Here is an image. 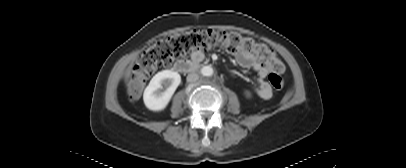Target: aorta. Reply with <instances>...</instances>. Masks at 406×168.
<instances>
[{
    "label": "aorta",
    "instance_id": "aorta-1",
    "mask_svg": "<svg viewBox=\"0 0 406 168\" xmlns=\"http://www.w3.org/2000/svg\"><path fill=\"white\" fill-rule=\"evenodd\" d=\"M201 74L203 76H212L213 75V68L211 66H203L201 68Z\"/></svg>",
    "mask_w": 406,
    "mask_h": 168
}]
</instances>
